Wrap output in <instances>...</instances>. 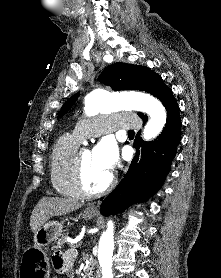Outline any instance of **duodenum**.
Listing matches in <instances>:
<instances>
[{"label": "duodenum", "mask_w": 221, "mask_h": 278, "mask_svg": "<svg viewBox=\"0 0 221 278\" xmlns=\"http://www.w3.org/2000/svg\"><path fill=\"white\" fill-rule=\"evenodd\" d=\"M86 276L87 278H100V271L93 262L88 263L86 268Z\"/></svg>", "instance_id": "1"}]
</instances>
